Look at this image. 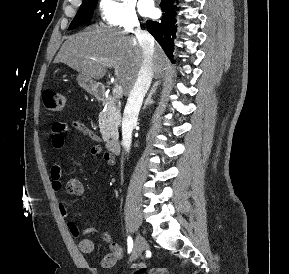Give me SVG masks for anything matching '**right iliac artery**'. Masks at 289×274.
<instances>
[{"label": "right iliac artery", "mask_w": 289, "mask_h": 274, "mask_svg": "<svg viewBox=\"0 0 289 274\" xmlns=\"http://www.w3.org/2000/svg\"><path fill=\"white\" fill-rule=\"evenodd\" d=\"M127 245H128V253H130L133 248V240L130 236H128L127 238Z\"/></svg>", "instance_id": "1"}]
</instances>
